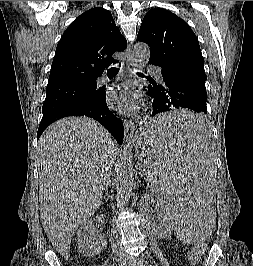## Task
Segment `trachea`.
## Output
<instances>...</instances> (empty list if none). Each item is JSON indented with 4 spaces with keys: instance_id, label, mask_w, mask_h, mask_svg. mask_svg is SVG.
Instances as JSON below:
<instances>
[{
    "instance_id": "obj_1",
    "label": "trachea",
    "mask_w": 253,
    "mask_h": 266,
    "mask_svg": "<svg viewBox=\"0 0 253 266\" xmlns=\"http://www.w3.org/2000/svg\"><path fill=\"white\" fill-rule=\"evenodd\" d=\"M119 72V68L117 67H111L107 70V74H117ZM138 74H142V73H138Z\"/></svg>"
}]
</instances>
